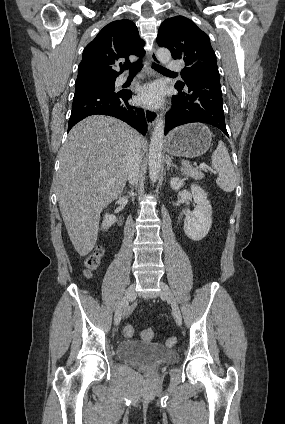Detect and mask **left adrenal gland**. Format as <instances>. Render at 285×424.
I'll list each match as a JSON object with an SVG mask.
<instances>
[{
    "label": "left adrenal gland",
    "mask_w": 285,
    "mask_h": 424,
    "mask_svg": "<svg viewBox=\"0 0 285 424\" xmlns=\"http://www.w3.org/2000/svg\"><path fill=\"white\" fill-rule=\"evenodd\" d=\"M166 164H167V166H166V169H167V171L170 169V167H176L173 163H172V160H171V157L170 156H166Z\"/></svg>",
    "instance_id": "a2214340"
}]
</instances>
